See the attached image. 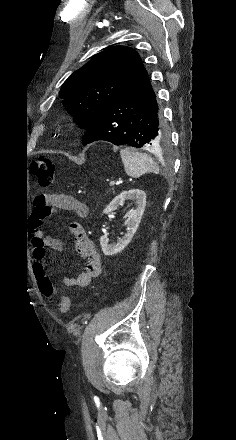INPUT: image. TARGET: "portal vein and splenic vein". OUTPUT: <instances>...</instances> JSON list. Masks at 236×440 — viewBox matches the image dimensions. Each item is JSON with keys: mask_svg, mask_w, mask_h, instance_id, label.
I'll return each mask as SVG.
<instances>
[{"mask_svg": "<svg viewBox=\"0 0 236 440\" xmlns=\"http://www.w3.org/2000/svg\"><path fill=\"white\" fill-rule=\"evenodd\" d=\"M115 184H116L115 181H111V182H110V186H114Z\"/></svg>", "mask_w": 236, "mask_h": 440, "instance_id": "18ae733b", "label": "portal vein and splenic vein"}]
</instances>
